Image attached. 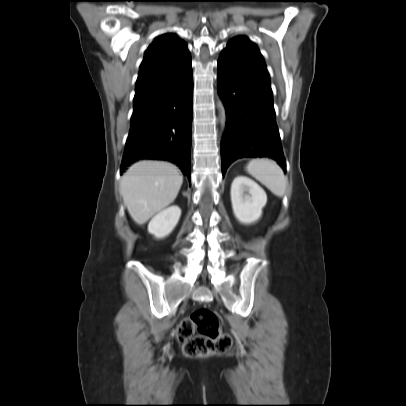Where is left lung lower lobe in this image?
<instances>
[{
	"label": "left lung lower lobe",
	"instance_id": "obj_1",
	"mask_svg": "<svg viewBox=\"0 0 406 406\" xmlns=\"http://www.w3.org/2000/svg\"><path fill=\"white\" fill-rule=\"evenodd\" d=\"M218 92L227 122L221 145L222 173L243 157H270L286 170L268 72L239 56L221 53Z\"/></svg>",
	"mask_w": 406,
	"mask_h": 406
}]
</instances>
